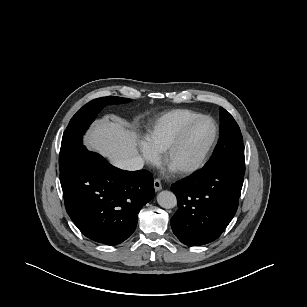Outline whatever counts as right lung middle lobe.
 I'll use <instances>...</instances> for the list:
<instances>
[{
    "label": "right lung middle lobe",
    "instance_id": "right-lung-middle-lobe-1",
    "mask_svg": "<svg viewBox=\"0 0 307 307\" xmlns=\"http://www.w3.org/2000/svg\"><path fill=\"white\" fill-rule=\"evenodd\" d=\"M128 101V98H120L116 96L97 98L84 105L72 117L62 138L59 155L60 171L67 167L84 147L82 145V137L89 125L95 119L97 113L108 104Z\"/></svg>",
    "mask_w": 307,
    "mask_h": 307
}]
</instances>
